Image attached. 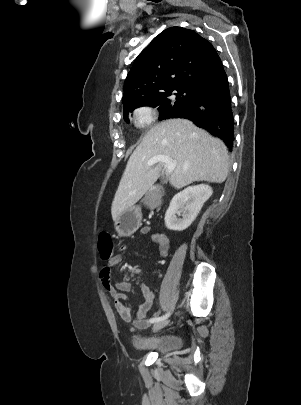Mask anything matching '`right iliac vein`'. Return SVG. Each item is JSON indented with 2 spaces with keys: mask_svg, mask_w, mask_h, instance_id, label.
Wrapping results in <instances>:
<instances>
[{
  "mask_svg": "<svg viewBox=\"0 0 301 405\" xmlns=\"http://www.w3.org/2000/svg\"><path fill=\"white\" fill-rule=\"evenodd\" d=\"M168 320H163V321H159V322H156L154 325H153V331H159V330H161L162 328H164L167 324H168Z\"/></svg>",
  "mask_w": 301,
  "mask_h": 405,
  "instance_id": "1",
  "label": "right iliac vein"
}]
</instances>
